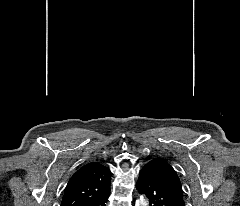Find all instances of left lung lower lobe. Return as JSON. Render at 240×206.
Masks as SVG:
<instances>
[{
	"label": "left lung lower lobe",
	"mask_w": 240,
	"mask_h": 206,
	"mask_svg": "<svg viewBox=\"0 0 240 206\" xmlns=\"http://www.w3.org/2000/svg\"><path fill=\"white\" fill-rule=\"evenodd\" d=\"M136 188L149 198L150 206H185L168 186L155 162H148L141 169Z\"/></svg>",
	"instance_id": "0a47b994"
}]
</instances>
